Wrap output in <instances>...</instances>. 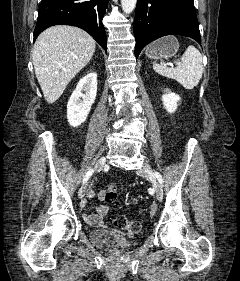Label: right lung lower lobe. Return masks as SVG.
I'll list each match as a JSON object with an SVG mask.
<instances>
[{
	"label": "right lung lower lobe",
	"mask_w": 240,
	"mask_h": 281,
	"mask_svg": "<svg viewBox=\"0 0 240 281\" xmlns=\"http://www.w3.org/2000/svg\"><path fill=\"white\" fill-rule=\"evenodd\" d=\"M108 2L109 0H42L34 41L46 28L64 24L85 30L106 50V31L102 19Z\"/></svg>",
	"instance_id": "right-lung-lower-lobe-1"
}]
</instances>
